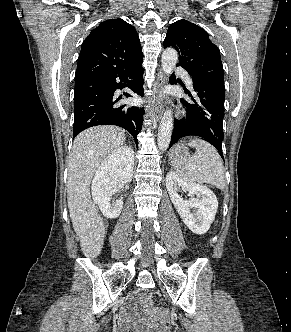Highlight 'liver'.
I'll return each instance as SVG.
<instances>
[{"label":"liver","mask_w":291,"mask_h":332,"mask_svg":"<svg viewBox=\"0 0 291 332\" xmlns=\"http://www.w3.org/2000/svg\"><path fill=\"white\" fill-rule=\"evenodd\" d=\"M126 140L122 129L96 126L81 132L74 140L68 162L67 200L74 231L87 257H97L104 243L105 226L91 200L90 183L104 160Z\"/></svg>","instance_id":"liver-1"}]
</instances>
